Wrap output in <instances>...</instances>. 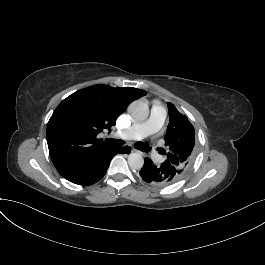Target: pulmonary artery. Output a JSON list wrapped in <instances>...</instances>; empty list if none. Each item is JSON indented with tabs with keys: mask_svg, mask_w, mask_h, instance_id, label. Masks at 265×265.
Instances as JSON below:
<instances>
[{
	"mask_svg": "<svg viewBox=\"0 0 265 265\" xmlns=\"http://www.w3.org/2000/svg\"><path fill=\"white\" fill-rule=\"evenodd\" d=\"M151 110V117L143 123H140L138 125L133 126L131 129H123L118 130L115 133V136L118 139H125V140H139L143 137H149L150 139H153L156 135H158L161 132V125L163 124L164 118H165V109L162 104H151L150 105ZM149 152L151 153L152 157L157 163H160L163 160L162 154L158 151V149L155 146H152L149 149Z\"/></svg>",
	"mask_w": 265,
	"mask_h": 265,
	"instance_id": "1",
	"label": "pulmonary artery"
}]
</instances>
